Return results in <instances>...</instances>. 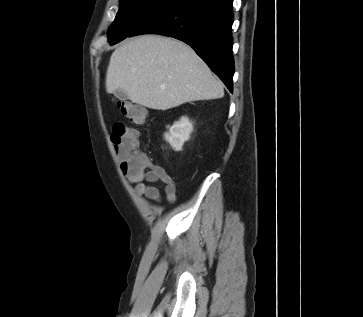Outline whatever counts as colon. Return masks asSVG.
<instances>
[{"label": "colon", "mask_w": 363, "mask_h": 317, "mask_svg": "<svg viewBox=\"0 0 363 317\" xmlns=\"http://www.w3.org/2000/svg\"><path fill=\"white\" fill-rule=\"evenodd\" d=\"M123 117L134 122L143 124L146 120V111L143 107L129 101H122L118 105ZM110 142L115 148L116 154L121 161V168L130 167L133 170L143 168L145 158L138 152V133L135 129L126 127L122 122L114 125Z\"/></svg>", "instance_id": "1"}]
</instances>
